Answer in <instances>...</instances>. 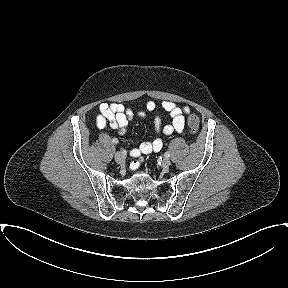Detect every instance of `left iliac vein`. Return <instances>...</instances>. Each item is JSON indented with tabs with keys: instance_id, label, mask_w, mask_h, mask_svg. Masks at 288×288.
I'll return each instance as SVG.
<instances>
[{
	"instance_id": "4c4485c4",
	"label": "left iliac vein",
	"mask_w": 288,
	"mask_h": 288,
	"mask_svg": "<svg viewBox=\"0 0 288 288\" xmlns=\"http://www.w3.org/2000/svg\"><path fill=\"white\" fill-rule=\"evenodd\" d=\"M170 164H171L170 159L165 157L162 161V167L164 169H167L170 166Z\"/></svg>"
}]
</instances>
